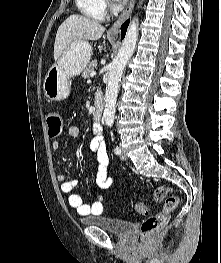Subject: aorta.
I'll return each mask as SVG.
<instances>
[{"label":"aorta","instance_id":"aorta-1","mask_svg":"<svg viewBox=\"0 0 221 263\" xmlns=\"http://www.w3.org/2000/svg\"><path fill=\"white\" fill-rule=\"evenodd\" d=\"M138 40V23L133 20L127 30L121 48L110 64L108 82L105 93V108L103 118L108 127H112L115 118L116 100L124 68L134 53Z\"/></svg>","mask_w":221,"mask_h":263}]
</instances>
